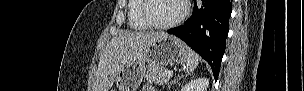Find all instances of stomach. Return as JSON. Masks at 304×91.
Wrapping results in <instances>:
<instances>
[{
	"instance_id": "0dacf381",
	"label": "stomach",
	"mask_w": 304,
	"mask_h": 91,
	"mask_svg": "<svg viewBox=\"0 0 304 91\" xmlns=\"http://www.w3.org/2000/svg\"><path fill=\"white\" fill-rule=\"evenodd\" d=\"M189 48L175 36L158 38L141 55L130 58L118 71L116 85L119 91H136L145 74V64L161 67L171 63H185Z\"/></svg>"
}]
</instances>
